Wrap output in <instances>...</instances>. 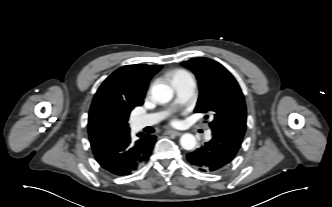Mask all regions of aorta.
Wrapping results in <instances>:
<instances>
[{"instance_id": "1", "label": "aorta", "mask_w": 332, "mask_h": 207, "mask_svg": "<svg viewBox=\"0 0 332 207\" xmlns=\"http://www.w3.org/2000/svg\"><path fill=\"white\" fill-rule=\"evenodd\" d=\"M152 97L159 103H167L173 97V90L165 84H155L151 88ZM180 144L185 150H192L196 146V138L194 135L186 133L180 138Z\"/></svg>"}]
</instances>
